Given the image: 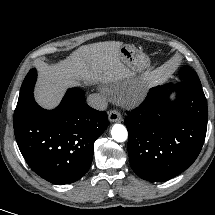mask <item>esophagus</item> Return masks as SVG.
Segmentation results:
<instances>
[{"instance_id": "34e87169", "label": "esophagus", "mask_w": 215, "mask_h": 215, "mask_svg": "<svg viewBox=\"0 0 215 215\" xmlns=\"http://www.w3.org/2000/svg\"><path fill=\"white\" fill-rule=\"evenodd\" d=\"M108 118L110 122H121L122 120L121 114L117 110H111L108 114Z\"/></svg>"}]
</instances>
